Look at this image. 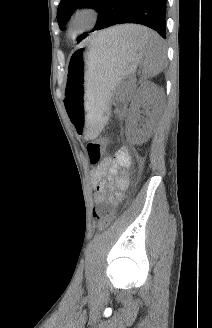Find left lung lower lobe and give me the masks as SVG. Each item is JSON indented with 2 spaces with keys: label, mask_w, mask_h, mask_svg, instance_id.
<instances>
[{
  "label": "left lung lower lobe",
  "mask_w": 212,
  "mask_h": 328,
  "mask_svg": "<svg viewBox=\"0 0 212 328\" xmlns=\"http://www.w3.org/2000/svg\"><path fill=\"white\" fill-rule=\"evenodd\" d=\"M165 14L166 0H106L101 19L94 30L136 23L152 28L165 39Z\"/></svg>",
  "instance_id": "obj_1"
}]
</instances>
